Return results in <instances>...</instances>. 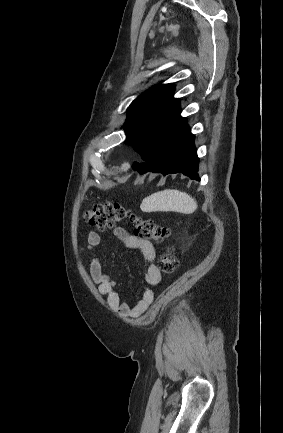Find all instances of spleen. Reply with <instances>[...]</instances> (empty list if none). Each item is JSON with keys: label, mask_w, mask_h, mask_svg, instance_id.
<instances>
[{"label": "spleen", "mask_w": 283, "mask_h": 433, "mask_svg": "<svg viewBox=\"0 0 283 433\" xmlns=\"http://www.w3.org/2000/svg\"><path fill=\"white\" fill-rule=\"evenodd\" d=\"M198 204L187 192L181 190H160L153 192L150 196L143 198L140 206L143 212H155V210H174V212H184L190 214L196 210Z\"/></svg>", "instance_id": "obj_1"}]
</instances>
